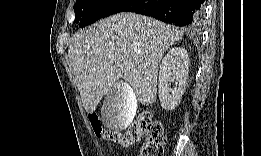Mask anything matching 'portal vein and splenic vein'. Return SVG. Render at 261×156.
<instances>
[{"label":"portal vein and splenic vein","mask_w":261,"mask_h":156,"mask_svg":"<svg viewBox=\"0 0 261 156\" xmlns=\"http://www.w3.org/2000/svg\"><path fill=\"white\" fill-rule=\"evenodd\" d=\"M124 66H125V67H127V68H129V67H130V65H129V64H127V63H124Z\"/></svg>","instance_id":"obj_1"}]
</instances>
